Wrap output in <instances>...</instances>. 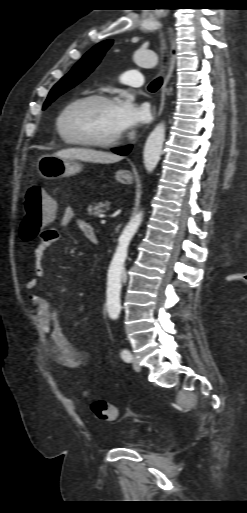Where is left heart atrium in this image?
I'll return each instance as SVG.
<instances>
[{
	"label": "left heart atrium",
	"mask_w": 247,
	"mask_h": 513,
	"mask_svg": "<svg viewBox=\"0 0 247 513\" xmlns=\"http://www.w3.org/2000/svg\"><path fill=\"white\" fill-rule=\"evenodd\" d=\"M147 117V109L137 105L131 97H126L116 104V118L121 133L139 126Z\"/></svg>",
	"instance_id": "39dd6f15"
}]
</instances>
